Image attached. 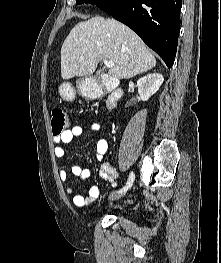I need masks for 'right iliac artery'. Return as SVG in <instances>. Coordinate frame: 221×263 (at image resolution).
I'll return each mask as SVG.
<instances>
[{"label":"right iliac artery","mask_w":221,"mask_h":263,"mask_svg":"<svg viewBox=\"0 0 221 263\" xmlns=\"http://www.w3.org/2000/svg\"><path fill=\"white\" fill-rule=\"evenodd\" d=\"M134 179H135V176H134L133 172H131L129 175V179H128L126 186L124 188H122L121 190H119L118 192H123V191L128 190L132 186Z\"/></svg>","instance_id":"right-iliac-artery-1"}]
</instances>
